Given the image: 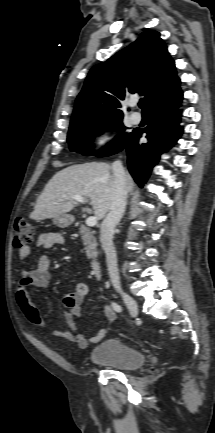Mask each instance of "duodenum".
I'll list each match as a JSON object with an SVG mask.
<instances>
[{"label":"duodenum","instance_id":"duodenum-1","mask_svg":"<svg viewBox=\"0 0 215 433\" xmlns=\"http://www.w3.org/2000/svg\"><path fill=\"white\" fill-rule=\"evenodd\" d=\"M91 270L96 280L102 279V268L98 260H93L91 263Z\"/></svg>","mask_w":215,"mask_h":433}]
</instances>
